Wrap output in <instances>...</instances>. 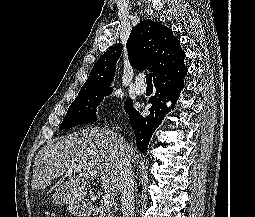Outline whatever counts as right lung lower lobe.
Returning <instances> with one entry per match:
<instances>
[{
	"label": "right lung lower lobe",
	"mask_w": 255,
	"mask_h": 217,
	"mask_svg": "<svg viewBox=\"0 0 255 217\" xmlns=\"http://www.w3.org/2000/svg\"><path fill=\"white\" fill-rule=\"evenodd\" d=\"M183 61L184 59L172 69L154 79L156 93L149 101L152 107L149 109L150 114L148 116L144 118L135 109L128 113L136 137L137 148L142 153L146 152L152 134L161 124L166 113L170 111L165 103L171 101L173 107L180 91L184 87L183 79L186 75L187 67Z\"/></svg>",
	"instance_id": "1"
}]
</instances>
